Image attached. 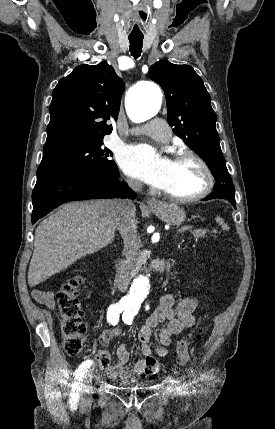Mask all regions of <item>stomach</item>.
<instances>
[{
	"mask_svg": "<svg viewBox=\"0 0 275 429\" xmlns=\"http://www.w3.org/2000/svg\"><path fill=\"white\" fill-rule=\"evenodd\" d=\"M152 212L156 214L163 222L179 226L186 218L184 210L174 204L161 203L157 208H151Z\"/></svg>",
	"mask_w": 275,
	"mask_h": 429,
	"instance_id": "0dacf381",
	"label": "stomach"
}]
</instances>
